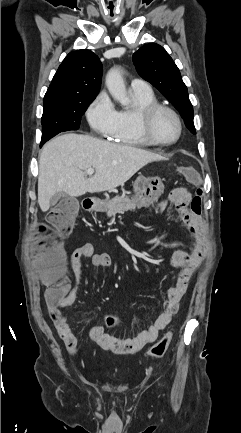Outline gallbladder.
Wrapping results in <instances>:
<instances>
[{
    "mask_svg": "<svg viewBox=\"0 0 241 433\" xmlns=\"http://www.w3.org/2000/svg\"><path fill=\"white\" fill-rule=\"evenodd\" d=\"M60 199H65L70 202V208H66L72 217H75L79 210V202L77 199L69 197L65 192H57L50 199V205L54 206Z\"/></svg>",
    "mask_w": 241,
    "mask_h": 433,
    "instance_id": "gallbladder-1",
    "label": "gallbladder"
}]
</instances>
